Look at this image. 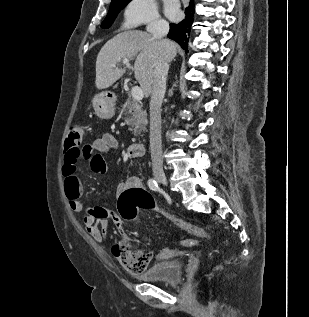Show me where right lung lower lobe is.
I'll return each mask as SVG.
<instances>
[{"mask_svg":"<svg viewBox=\"0 0 309 317\" xmlns=\"http://www.w3.org/2000/svg\"><path fill=\"white\" fill-rule=\"evenodd\" d=\"M186 17L179 24H170L168 37L175 40L183 49L187 48L188 37L192 23L194 21V1H191L189 7L186 8ZM188 51L186 50V53Z\"/></svg>","mask_w":309,"mask_h":317,"instance_id":"1","label":"right lung lower lobe"}]
</instances>
